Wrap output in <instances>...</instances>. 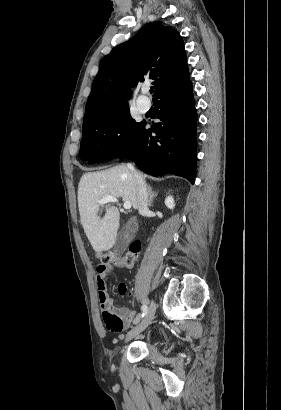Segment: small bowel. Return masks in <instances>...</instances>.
<instances>
[{"instance_id":"c3829d8e","label":"small bowel","mask_w":281,"mask_h":410,"mask_svg":"<svg viewBox=\"0 0 281 410\" xmlns=\"http://www.w3.org/2000/svg\"><path fill=\"white\" fill-rule=\"evenodd\" d=\"M113 269L109 264H98L96 266V285L98 289V302L101 309L116 314L123 321V325L120 329L122 331L126 329L131 322L135 319V312L126 308H117L114 306L111 297L109 296L105 278L107 274ZM118 293L122 296L128 293L127 286L124 283L118 285ZM130 295V294H129Z\"/></svg>"}]
</instances>
